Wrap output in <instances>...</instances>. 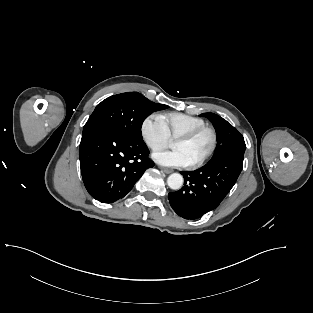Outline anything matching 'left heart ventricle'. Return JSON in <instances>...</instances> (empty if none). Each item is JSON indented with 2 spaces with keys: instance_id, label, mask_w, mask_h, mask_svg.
<instances>
[{
  "instance_id": "left-heart-ventricle-1",
  "label": "left heart ventricle",
  "mask_w": 313,
  "mask_h": 313,
  "mask_svg": "<svg viewBox=\"0 0 313 313\" xmlns=\"http://www.w3.org/2000/svg\"><path fill=\"white\" fill-rule=\"evenodd\" d=\"M212 145V137L209 132L202 133L191 141L175 140L173 147L185 152L190 162L193 163L202 158Z\"/></svg>"
}]
</instances>
